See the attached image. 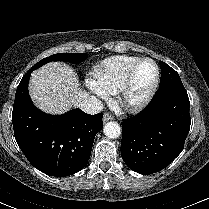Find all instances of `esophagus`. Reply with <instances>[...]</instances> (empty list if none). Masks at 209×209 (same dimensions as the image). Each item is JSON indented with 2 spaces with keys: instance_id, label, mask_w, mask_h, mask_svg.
I'll return each mask as SVG.
<instances>
[{
  "instance_id": "1",
  "label": "esophagus",
  "mask_w": 209,
  "mask_h": 209,
  "mask_svg": "<svg viewBox=\"0 0 209 209\" xmlns=\"http://www.w3.org/2000/svg\"><path fill=\"white\" fill-rule=\"evenodd\" d=\"M114 119V117L111 115V114H109V113H105L104 115H103V122L104 123H106V122H108V121H111V120H113Z\"/></svg>"
}]
</instances>
